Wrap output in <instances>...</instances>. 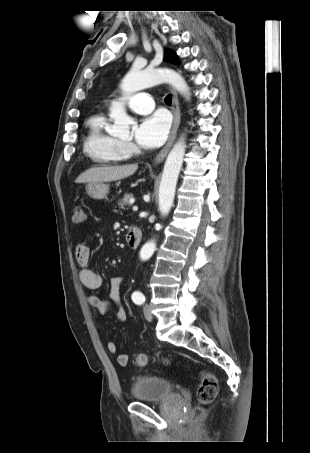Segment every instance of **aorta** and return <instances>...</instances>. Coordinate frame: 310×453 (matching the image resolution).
<instances>
[{"label":"aorta","instance_id":"aorta-1","mask_svg":"<svg viewBox=\"0 0 310 453\" xmlns=\"http://www.w3.org/2000/svg\"><path fill=\"white\" fill-rule=\"evenodd\" d=\"M162 82L171 84L185 98H190L189 87L183 77L176 71L167 68L140 70L133 67L123 78L121 89L124 93L130 94ZM110 117L114 121L111 129L113 135L121 136L129 134L130 124H132L133 120L126 113L123 104H113L110 108ZM185 150V138L181 137L174 144L167 156L159 186V211L162 216L168 215L173 206L176 185ZM155 250L156 244L154 241L146 243L140 251V258L142 260H148Z\"/></svg>","mask_w":310,"mask_h":453}]
</instances>
